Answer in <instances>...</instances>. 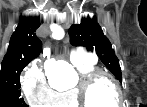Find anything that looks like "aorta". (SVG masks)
Listing matches in <instances>:
<instances>
[{"label": "aorta", "instance_id": "aorta-1", "mask_svg": "<svg viewBox=\"0 0 147 107\" xmlns=\"http://www.w3.org/2000/svg\"><path fill=\"white\" fill-rule=\"evenodd\" d=\"M44 69L49 79V83L54 87L69 86L76 78L75 70L66 61L48 59L44 63Z\"/></svg>", "mask_w": 147, "mask_h": 107}]
</instances>
